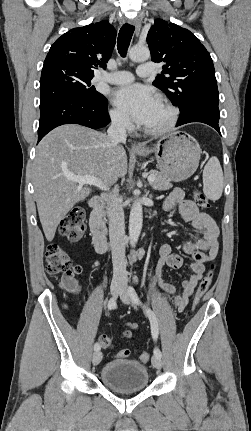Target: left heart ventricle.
<instances>
[{
	"mask_svg": "<svg viewBox=\"0 0 251 431\" xmlns=\"http://www.w3.org/2000/svg\"><path fill=\"white\" fill-rule=\"evenodd\" d=\"M168 117V110L160 102H158L144 126L149 128L160 127L167 121Z\"/></svg>",
	"mask_w": 251,
	"mask_h": 431,
	"instance_id": "obj_1",
	"label": "left heart ventricle"
}]
</instances>
